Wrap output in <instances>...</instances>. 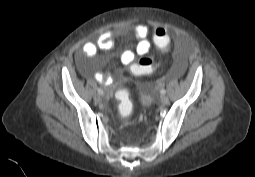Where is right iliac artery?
<instances>
[{
    "instance_id": "right-iliac-artery-1",
    "label": "right iliac artery",
    "mask_w": 255,
    "mask_h": 177,
    "mask_svg": "<svg viewBox=\"0 0 255 177\" xmlns=\"http://www.w3.org/2000/svg\"><path fill=\"white\" fill-rule=\"evenodd\" d=\"M97 91H98L99 95H103L104 94V92H103V90L101 88H98Z\"/></svg>"
}]
</instances>
